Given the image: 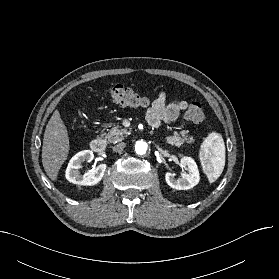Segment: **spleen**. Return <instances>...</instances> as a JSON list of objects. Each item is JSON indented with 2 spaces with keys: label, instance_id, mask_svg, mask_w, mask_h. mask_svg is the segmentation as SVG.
<instances>
[{
  "label": "spleen",
  "instance_id": "1",
  "mask_svg": "<svg viewBox=\"0 0 279 279\" xmlns=\"http://www.w3.org/2000/svg\"><path fill=\"white\" fill-rule=\"evenodd\" d=\"M200 159L209 182H215L225 166V144L221 134L212 132L208 135L201 147Z\"/></svg>",
  "mask_w": 279,
  "mask_h": 279
}]
</instances>
